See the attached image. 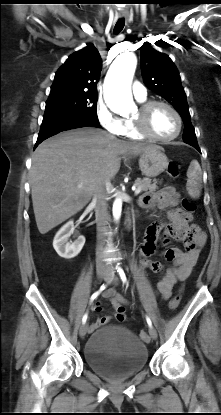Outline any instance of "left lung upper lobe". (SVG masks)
I'll return each instance as SVG.
<instances>
[{
  "label": "left lung upper lobe",
  "mask_w": 221,
  "mask_h": 415,
  "mask_svg": "<svg viewBox=\"0 0 221 415\" xmlns=\"http://www.w3.org/2000/svg\"><path fill=\"white\" fill-rule=\"evenodd\" d=\"M140 50L141 70L145 85L166 99L181 115L185 125L183 140L196 139L186 94L176 66L169 56L154 50L149 42L144 43Z\"/></svg>",
  "instance_id": "obj_1"
}]
</instances>
